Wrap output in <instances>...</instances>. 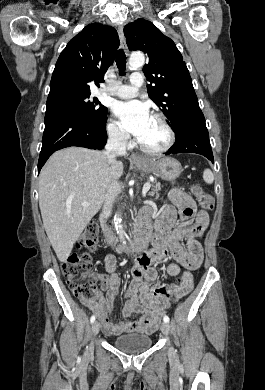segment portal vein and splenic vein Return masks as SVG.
I'll list each match as a JSON object with an SVG mask.
<instances>
[{"label": "portal vein and splenic vein", "instance_id": "18ae733b", "mask_svg": "<svg viewBox=\"0 0 265 390\" xmlns=\"http://www.w3.org/2000/svg\"><path fill=\"white\" fill-rule=\"evenodd\" d=\"M150 188H151V184L149 182L144 184L143 189H142L143 197L146 196V193L149 191ZM82 205L83 206H88V205H90V203L86 202V203H82Z\"/></svg>", "mask_w": 265, "mask_h": 390}]
</instances>
